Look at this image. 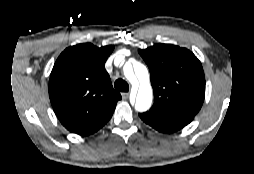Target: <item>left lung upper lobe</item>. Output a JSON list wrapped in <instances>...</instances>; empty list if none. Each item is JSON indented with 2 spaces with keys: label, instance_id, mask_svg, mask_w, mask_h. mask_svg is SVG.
Returning <instances> with one entry per match:
<instances>
[{
  "label": "left lung upper lobe",
  "instance_id": "5c2ea615",
  "mask_svg": "<svg viewBox=\"0 0 254 174\" xmlns=\"http://www.w3.org/2000/svg\"><path fill=\"white\" fill-rule=\"evenodd\" d=\"M139 53L150 70L152 108L194 118L205 97V76L197 57L171 44H155Z\"/></svg>",
  "mask_w": 254,
  "mask_h": 174
}]
</instances>
